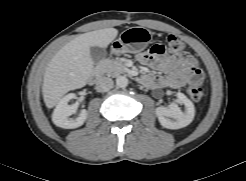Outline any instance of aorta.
<instances>
[{
	"label": "aorta",
	"instance_id": "762f6f07",
	"mask_svg": "<svg viewBox=\"0 0 246 181\" xmlns=\"http://www.w3.org/2000/svg\"><path fill=\"white\" fill-rule=\"evenodd\" d=\"M129 80L128 78L124 75V76H118L116 78V85L120 88H125L128 86Z\"/></svg>",
	"mask_w": 246,
	"mask_h": 181
}]
</instances>
